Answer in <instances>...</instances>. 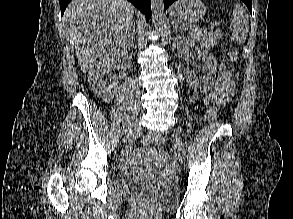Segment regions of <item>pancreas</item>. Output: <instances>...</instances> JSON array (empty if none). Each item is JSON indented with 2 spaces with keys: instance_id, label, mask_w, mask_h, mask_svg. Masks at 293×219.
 <instances>
[{
  "instance_id": "obj_1",
  "label": "pancreas",
  "mask_w": 293,
  "mask_h": 219,
  "mask_svg": "<svg viewBox=\"0 0 293 219\" xmlns=\"http://www.w3.org/2000/svg\"><path fill=\"white\" fill-rule=\"evenodd\" d=\"M184 28L188 30L195 39H197L198 41H201L202 44L205 46L216 45L218 39L222 37V33L220 31L202 33V30L200 28L191 24H185Z\"/></svg>"
}]
</instances>
